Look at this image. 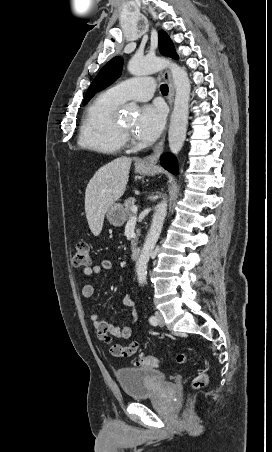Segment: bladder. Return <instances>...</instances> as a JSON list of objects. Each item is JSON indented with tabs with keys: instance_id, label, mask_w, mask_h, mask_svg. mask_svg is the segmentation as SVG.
Instances as JSON below:
<instances>
[{
	"instance_id": "31cf9c89",
	"label": "bladder",
	"mask_w": 272,
	"mask_h": 452,
	"mask_svg": "<svg viewBox=\"0 0 272 452\" xmlns=\"http://www.w3.org/2000/svg\"><path fill=\"white\" fill-rule=\"evenodd\" d=\"M116 377L130 399L151 396L167 384L164 373L154 368H121L116 371Z\"/></svg>"
}]
</instances>
